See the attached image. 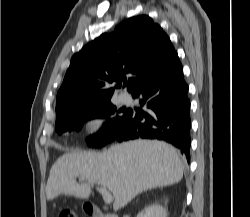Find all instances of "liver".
<instances>
[{"label":"liver","instance_id":"obj_1","mask_svg":"<svg viewBox=\"0 0 250 217\" xmlns=\"http://www.w3.org/2000/svg\"><path fill=\"white\" fill-rule=\"evenodd\" d=\"M83 177L85 184H78ZM183 163L177 150L165 142L133 140L115 144L102 153L71 151L53 164L46 186L47 200L60 194L89 198L91 185L108 188L113 194L115 211L138 194L178 183Z\"/></svg>","mask_w":250,"mask_h":217}]
</instances>
